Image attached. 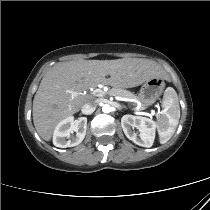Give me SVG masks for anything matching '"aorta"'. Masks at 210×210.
<instances>
[{
    "instance_id": "obj_1",
    "label": "aorta",
    "mask_w": 210,
    "mask_h": 210,
    "mask_svg": "<svg viewBox=\"0 0 210 210\" xmlns=\"http://www.w3.org/2000/svg\"><path fill=\"white\" fill-rule=\"evenodd\" d=\"M102 111H103L104 113H109V112H111V107H110V105H109V104H104V105L102 106Z\"/></svg>"
}]
</instances>
